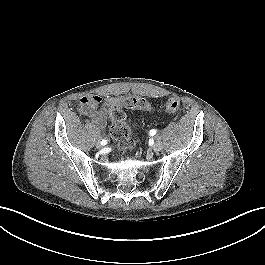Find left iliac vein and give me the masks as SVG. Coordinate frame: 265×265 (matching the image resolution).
<instances>
[{
	"mask_svg": "<svg viewBox=\"0 0 265 265\" xmlns=\"http://www.w3.org/2000/svg\"><path fill=\"white\" fill-rule=\"evenodd\" d=\"M163 149V144L162 142L160 141V139H157V141L155 142V144L153 145V150L155 152H159Z\"/></svg>",
	"mask_w": 265,
	"mask_h": 265,
	"instance_id": "obj_1",
	"label": "left iliac vein"
}]
</instances>
